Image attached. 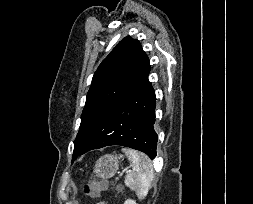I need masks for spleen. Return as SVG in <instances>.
<instances>
[{
  "label": "spleen",
  "instance_id": "1",
  "mask_svg": "<svg viewBox=\"0 0 253 204\" xmlns=\"http://www.w3.org/2000/svg\"><path fill=\"white\" fill-rule=\"evenodd\" d=\"M122 151L132 167V171L126 175L125 184L135 191L140 199H143L148 194L154 178L152 162L146 154L136 150L124 148Z\"/></svg>",
  "mask_w": 253,
  "mask_h": 204
}]
</instances>
